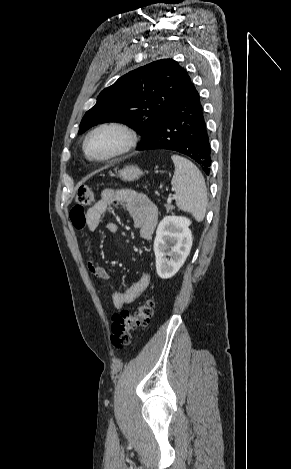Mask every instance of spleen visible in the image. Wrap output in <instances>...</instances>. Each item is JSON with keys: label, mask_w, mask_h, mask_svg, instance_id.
Here are the masks:
<instances>
[{"label": "spleen", "mask_w": 291, "mask_h": 469, "mask_svg": "<svg viewBox=\"0 0 291 469\" xmlns=\"http://www.w3.org/2000/svg\"><path fill=\"white\" fill-rule=\"evenodd\" d=\"M171 158L175 166L171 184L175 191L177 207L190 213L197 222H201L208 204L204 177L190 160L178 155Z\"/></svg>", "instance_id": "obj_1"}]
</instances>
